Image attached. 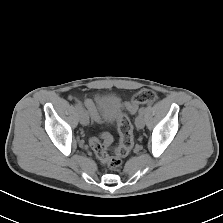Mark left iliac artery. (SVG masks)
Listing matches in <instances>:
<instances>
[{
    "mask_svg": "<svg viewBox=\"0 0 223 223\" xmlns=\"http://www.w3.org/2000/svg\"><path fill=\"white\" fill-rule=\"evenodd\" d=\"M145 111V107H141L138 111L139 115H143Z\"/></svg>",
    "mask_w": 223,
    "mask_h": 223,
    "instance_id": "44dca946",
    "label": "left iliac artery"
}]
</instances>
